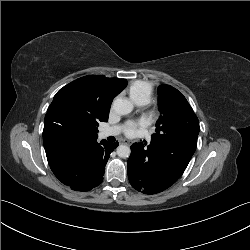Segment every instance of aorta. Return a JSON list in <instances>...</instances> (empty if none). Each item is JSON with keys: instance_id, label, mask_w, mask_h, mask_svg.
Masks as SVG:
<instances>
[{"instance_id": "aorta-1", "label": "aorta", "mask_w": 250, "mask_h": 250, "mask_svg": "<svg viewBox=\"0 0 250 250\" xmlns=\"http://www.w3.org/2000/svg\"><path fill=\"white\" fill-rule=\"evenodd\" d=\"M113 109L119 115H127L133 110V104L127 99L117 98L113 102ZM131 150L126 145H119L117 147V155L120 158H128Z\"/></svg>"}]
</instances>
